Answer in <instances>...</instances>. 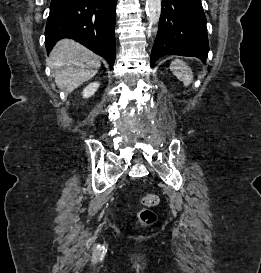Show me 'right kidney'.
<instances>
[{
	"instance_id": "ca27d5eb",
	"label": "right kidney",
	"mask_w": 261,
	"mask_h": 273,
	"mask_svg": "<svg viewBox=\"0 0 261 273\" xmlns=\"http://www.w3.org/2000/svg\"><path fill=\"white\" fill-rule=\"evenodd\" d=\"M99 83L98 82H93L90 83L88 86H86L83 90V97L84 98H89L91 97L98 89Z\"/></svg>"
}]
</instances>
